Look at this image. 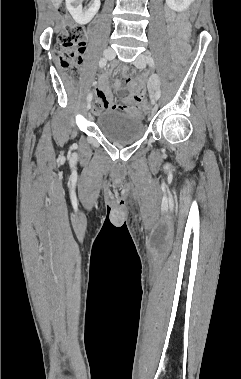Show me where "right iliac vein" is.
Returning a JSON list of instances; mask_svg holds the SVG:
<instances>
[{"instance_id": "right-iliac-vein-1", "label": "right iliac vein", "mask_w": 241, "mask_h": 379, "mask_svg": "<svg viewBox=\"0 0 241 379\" xmlns=\"http://www.w3.org/2000/svg\"><path fill=\"white\" fill-rule=\"evenodd\" d=\"M104 56L106 59L112 60L115 57V52L112 48L108 47L104 50ZM91 106H92V103H91V101H89L87 104V110H89L91 108Z\"/></svg>"}]
</instances>
